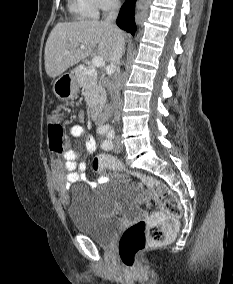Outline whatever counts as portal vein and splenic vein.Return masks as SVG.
<instances>
[{"mask_svg":"<svg viewBox=\"0 0 233 284\" xmlns=\"http://www.w3.org/2000/svg\"><path fill=\"white\" fill-rule=\"evenodd\" d=\"M80 49H81V50H84V49H85V46H84V45H81V46H80ZM92 65H93L94 67H97V68L103 67V66L105 65V60H104L102 57H100V56H96V57H94V58L92 59Z\"/></svg>","mask_w":233,"mask_h":284,"instance_id":"18ae733b","label":"portal vein and splenic vein"}]
</instances>
